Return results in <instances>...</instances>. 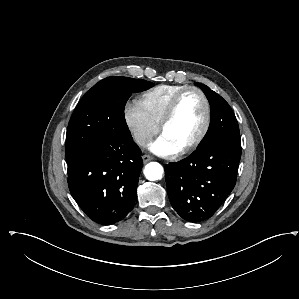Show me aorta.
I'll use <instances>...</instances> for the list:
<instances>
[{"label": "aorta", "instance_id": "obj_1", "mask_svg": "<svg viewBox=\"0 0 299 299\" xmlns=\"http://www.w3.org/2000/svg\"><path fill=\"white\" fill-rule=\"evenodd\" d=\"M164 169L157 162H150L144 168V175L150 181L160 180L163 177Z\"/></svg>", "mask_w": 299, "mask_h": 299}]
</instances>
